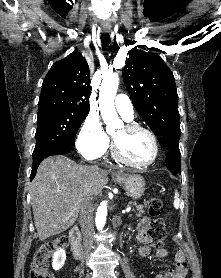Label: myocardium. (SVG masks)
<instances>
[{
	"instance_id": "f54148a6",
	"label": "myocardium",
	"mask_w": 221,
	"mask_h": 278,
	"mask_svg": "<svg viewBox=\"0 0 221 278\" xmlns=\"http://www.w3.org/2000/svg\"><path fill=\"white\" fill-rule=\"evenodd\" d=\"M125 129L129 132H135V131L145 132L150 137L152 144H153V150H154L153 157L149 162L144 163V164L133 163L122 155L116 141L114 140L112 143V146H111V151H112V155L114 156V158L116 160L120 161L121 163H123L129 167L135 168V169H145V168L152 166L158 160V157H159V143H158L156 135L147 127H144L141 125H136V124L126 125Z\"/></svg>"
}]
</instances>
